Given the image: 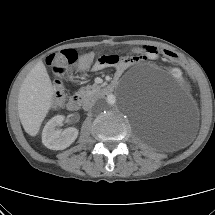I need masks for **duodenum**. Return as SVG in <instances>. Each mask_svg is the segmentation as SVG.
I'll use <instances>...</instances> for the list:
<instances>
[{
	"label": "duodenum",
	"instance_id": "410a0bca",
	"mask_svg": "<svg viewBox=\"0 0 215 215\" xmlns=\"http://www.w3.org/2000/svg\"><path fill=\"white\" fill-rule=\"evenodd\" d=\"M116 81L111 82L109 85H107L104 88V93H110L114 90V88L116 87ZM86 101V97L83 95H74L72 96L68 102H67V108L70 111H77L79 110L82 105L85 103Z\"/></svg>",
	"mask_w": 215,
	"mask_h": 215
}]
</instances>
